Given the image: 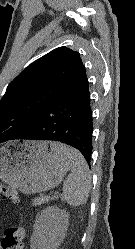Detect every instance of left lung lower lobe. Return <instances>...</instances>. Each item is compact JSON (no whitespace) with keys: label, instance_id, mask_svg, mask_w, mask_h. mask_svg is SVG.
<instances>
[{"label":"left lung lower lobe","instance_id":"left-lung-lower-lobe-1","mask_svg":"<svg viewBox=\"0 0 135 249\" xmlns=\"http://www.w3.org/2000/svg\"><path fill=\"white\" fill-rule=\"evenodd\" d=\"M93 118L88 79L41 109L34 126L14 139L53 140L78 149L90 165Z\"/></svg>","mask_w":135,"mask_h":249}]
</instances>
